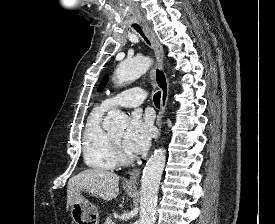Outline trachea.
<instances>
[{
    "label": "trachea",
    "mask_w": 275,
    "mask_h": 224,
    "mask_svg": "<svg viewBox=\"0 0 275 224\" xmlns=\"http://www.w3.org/2000/svg\"><path fill=\"white\" fill-rule=\"evenodd\" d=\"M134 28L136 29V31H138L142 36L143 38L145 39V41L150 44V42L148 41V39L145 37V35L143 34L142 30L140 29L139 26H134ZM160 98H161V93L160 92H157L154 97H153V100H154V104L156 105V107H160Z\"/></svg>",
    "instance_id": "3493384b"
}]
</instances>
